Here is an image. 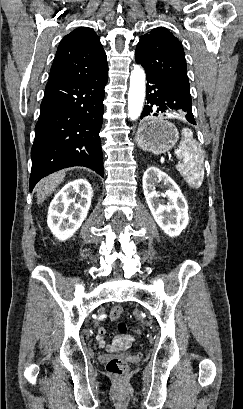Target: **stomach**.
<instances>
[{"instance_id": "obj_1", "label": "stomach", "mask_w": 243, "mask_h": 409, "mask_svg": "<svg viewBox=\"0 0 243 409\" xmlns=\"http://www.w3.org/2000/svg\"><path fill=\"white\" fill-rule=\"evenodd\" d=\"M179 139V133L174 124L166 119L150 118L146 120L137 132L138 146L153 154L168 152Z\"/></svg>"}]
</instances>
